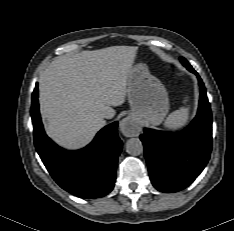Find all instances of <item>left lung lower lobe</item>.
<instances>
[{"label": "left lung lower lobe", "instance_id": "left-lung-lower-lobe-1", "mask_svg": "<svg viewBox=\"0 0 234 231\" xmlns=\"http://www.w3.org/2000/svg\"><path fill=\"white\" fill-rule=\"evenodd\" d=\"M182 64L198 75L188 62ZM198 113L183 131L169 133L144 129L140 139L150 178L162 192H177L190 185L206 166L212 149V114L205 86L200 77Z\"/></svg>", "mask_w": 234, "mask_h": 231}]
</instances>
